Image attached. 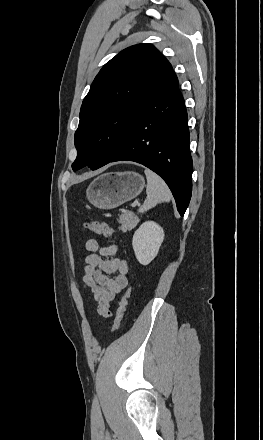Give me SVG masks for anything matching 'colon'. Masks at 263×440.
<instances>
[{
    "instance_id": "obj_1",
    "label": "colon",
    "mask_w": 263,
    "mask_h": 440,
    "mask_svg": "<svg viewBox=\"0 0 263 440\" xmlns=\"http://www.w3.org/2000/svg\"><path fill=\"white\" fill-rule=\"evenodd\" d=\"M83 227L87 230H90V231H92L98 235H101L103 237H106V238H110L112 236V233L109 231L108 228H106L101 223H98L95 221H86L83 223ZM128 298H129V292L125 293V295L122 297V299L120 301L119 315H118L117 322L114 326V331H117L120 328L121 323L123 322V320L125 318Z\"/></svg>"
}]
</instances>
